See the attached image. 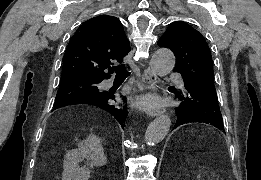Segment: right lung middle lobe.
<instances>
[{
	"instance_id": "1",
	"label": "right lung middle lobe",
	"mask_w": 261,
	"mask_h": 180,
	"mask_svg": "<svg viewBox=\"0 0 261 180\" xmlns=\"http://www.w3.org/2000/svg\"><path fill=\"white\" fill-rule=\"evenodd\" d=\"M101 81L94 80H68L60 81V87L56 95L55 104L76 95L94 96L101 93L97 84Z\"/></svg>"
}]
</instances>
